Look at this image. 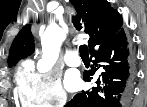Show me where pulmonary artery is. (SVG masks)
Wrapping results in <instances>:
<instances>
[{
	"label": "pulmonary artery",
	"instance_id": "obj_1",
	"mask_svg": "<svg viewBox=\"0 0 147 107\" xmlns=\"http://www.w3.org/2000/svg\"><path fill=\"white\" fill-rule=\"evenodd\" d=\"M65 62L71 67H78L81 65V60L76 51H68L65 55Z\"/></svg>",
	"mask_w": 147,
	"mask_h": 107
}]
</instances>
